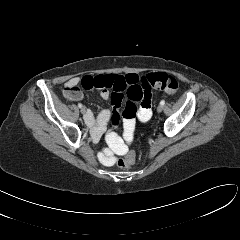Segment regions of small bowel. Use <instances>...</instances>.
Listing matches in <instances>:
<instances>
[{
  "label": "small bowel",
  "instance_id": "c3829d8e",
  "mask_svg": "<svg viewBox=\"0 0 240 240\" xmlns=\"http://www.w3.org/2000/svg\"><path fill=\"white\" fill-rule=\"evenodd\" d=\"M142 78V77H141ZM141 78L137 74H107V75H96V76H84L83 78L73 77L71 78L66 86L70 85H81L85 89L97 88L100 90V95L105 100H110L114 109L112 111L102 110L97 117H95L90 111L85 116L86 123L91 127L92 135L94 139L98 140L104 133L106 124L109 120L112 121L114 127L120 122V108L125 93L130 87L135 86L140 92V107L137 112V118L141 122H147L152 115L151 103L152 94L151 88L147 84L141 82ZM81 94L69 97L71 100L77 101L81 99ZM134 126V120H124V127L126 131L131 132ZM116 151L118 153L124 152V146L119 142L116 144Z\"/></svg>",
  "mask_w": 240,
  "mask_h": 240
}]
</instances>
